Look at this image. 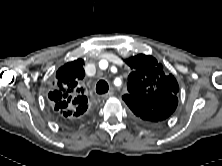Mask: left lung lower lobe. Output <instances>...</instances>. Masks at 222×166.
Wrapping results in <instances>:
<instances>
[{"instance_id":"obj_1","label":"left lung lower lobe","mask_w":222,"mask_h":166,"mask_svg":"<svg viewBox=\"0 0 222 166\" xmlns=\"http://www.w3.org/2000/svg\"><path fill=\"white\" fill-rule=\"evenodd\" d=\"M136 103L144 104L146 107L145 112L142 109H134L132 112L135 118L145 124H154L167 119L176 109L178 98L174 95L161 98L153 105L147 101L146 98H133Z\"/></svg>"}]
</instances>
